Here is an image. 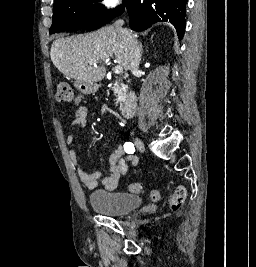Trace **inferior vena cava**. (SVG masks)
<instances>
[{
  "mask_svg": "<svg viewBox=\"0 0 256 267\" xmlns=\"http://www.w3.org/2000/svg\"><path fill=\"white\" fill-rule=\"evenodd\" d=\"M114 28H117L118 32L120 34H123V36H128L130 40V52H129V70H132V72H135V70H138V66L140 64L141 60V52L140 48L138 46V42L136 40H131V36L128 32V30H124L122 26H124V20H117L115 24H113Z\"/></svg>",
  "mask_w": 256,
  "mask_h": 267,
  "instance_id": "1",
  "label": "inferior vena cava"
}]
</instances>
